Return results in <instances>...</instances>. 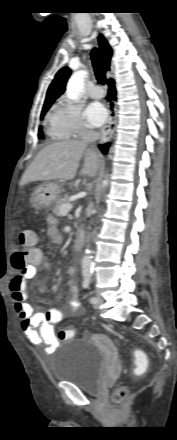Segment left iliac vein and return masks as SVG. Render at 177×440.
Instances as JSON below:
<instances>
[{"label":"left iliac vein","instance_id":"obj_1","mask_svg":"<svg viewBox=\"0 0 177 440\" xmlns=\"http://www.w3.org/2000/svg\"><path fill=\"white\" fill-rule=\"evenodd\" d=\"M96 298L98 299V301L96 303H94V308H99L100 304L103 302V299L100 296H96Z\"/></svg>","mask_w":177,"mask_h":440}]
</instances>
